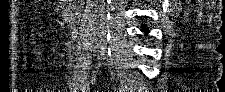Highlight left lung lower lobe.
<instances>
[{"instance_id":"0a47b994","label":"left lung lower lobe","mask_w":225,"mask_h":92,"mask_svg":"<svg viewBox=\"0 0 225 92\" xmlns=\"http://www.w3.org/2000/svg\"><path fill=\"white\" fill-rule=\"evenodd\" d=\"M142 31H143V32H149L148 27L142 26ZM146 35H147V33H146Z\"/></svg>"}]
</instances>
